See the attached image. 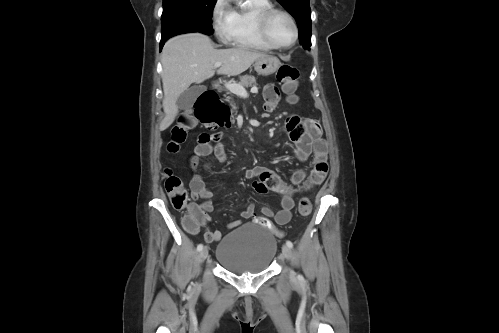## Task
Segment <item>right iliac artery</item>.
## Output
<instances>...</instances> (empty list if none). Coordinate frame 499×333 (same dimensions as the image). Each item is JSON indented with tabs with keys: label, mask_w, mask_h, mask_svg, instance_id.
<instances>
[{
	"label": "right iliac artery",
	"mask_w": 499,
	"mask_h": 333,
	"mask_svg": "<svg viewBox=\"0 0 499 333\" xmlns=\"http://www.w3.org/2000/svg\"><path fill=\"white\" fill-rule=\"evenodd\" d=\"M202 249H203V245H202V244H199V245L197 246V250H198V251H201Z\"/></svg>",
	"instance_id": "82829eb1"
}]
</instances>
